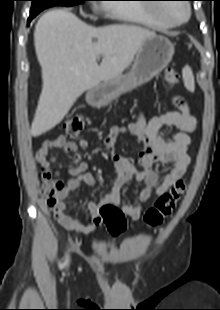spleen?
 Segmentation results:
<instances>
[{
    "mask_svg": "<svg viewBox=\"0 0 220 310\" xmlns=\"http://www.w3.org/2000/svg\"><path fill=\"white\" fill-rule=\"evenodd\" d=\"M182 74H183V79H184L185 87L189 91L194 92V90H195V82H194V76H193L191 68L189 66H186L183 69Z\"/></svg>",
    "mask_w": 220,
    "mask_h": 310,
    "instance_id": "3e777b00",
    "label": "spleen"
}]
</instances>
